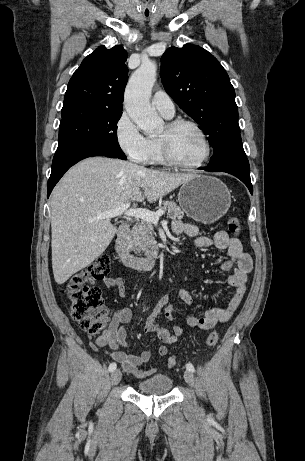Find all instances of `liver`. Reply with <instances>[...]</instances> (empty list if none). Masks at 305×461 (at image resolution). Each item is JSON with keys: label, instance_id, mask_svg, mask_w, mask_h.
<instances>
[{"label": "liver", "instance_id": "liver-1", "mask_svg": "<svg viewBox=\"0 0 305 461\" xmlns=\"http://www.w3.org/2000/svg\"><path fill=\"white\" fill-rule=\"evenodd\" d=\"M193 176L103 157L87 158L70 168L50 201L55 281L65 283L109 246L117 229L110 219L92 221L97 214L130 201L155 202Z\"/></svg>", "mask_w": 305, "mask_h": 461}]
</instances>
